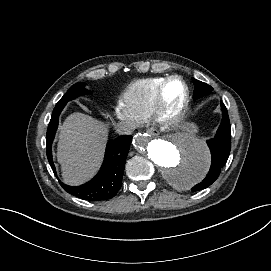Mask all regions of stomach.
<instances>
[{
    "instance_id": "1",
    "label": "stomach",
    "mask_w": 271,
    "mask_h": 271,
    "mask_svg": "<svg viewBox=\"0 0 271 271\" xmlns=\"http://www.w3.org/2000/svg\"><path fill=\"white\" fill-rule=\"evenodd\" d=\"M182 129L185 130V131H188V132H190L192 134L197 133V131H198V127H197L196 124L188 123V122H186V123H184L182 125Z\"/></svg>"
}]
</instances>
